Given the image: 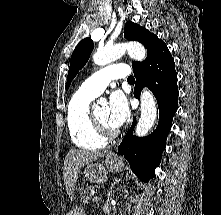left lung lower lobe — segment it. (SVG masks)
Segmentation results:
<instances>
[{"label": "left lung lower lobe", "mask_w": 221, "mask_h": 215, "mask_svg": "<svg viewBox=\"0 0 221 215\" xmlns=\"http://www.w3.org/2000/svg\"><path fill=\"white\" fill-rule=\"evenodd\" d=\"M134 76L136 98H140L144 86H147L156 97L159 123L152 134L140 138L133 135L135 118L130 131L118 147V152L128 160L132 171L139 178L148 181L155 176L154 170L160 163L172 118L177 111V73L174 59L165 43L158 48L147 64L134 70Z\"/></svg>", "instance_id": "0a47b994"}]
</instances>
